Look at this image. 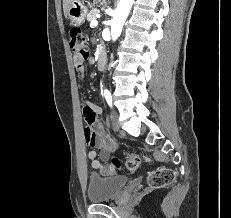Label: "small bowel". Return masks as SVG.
Masks as SVG:
<instances>
[{"instance_id": "small-bowel-1", "label": "small bowel", "mask_w": 231, "mask_h": 218, "mask_svg": "<svg viewBox=\"0 0 231 218\" xmlns=\"http://www.w3.org/2000/svg\"><path fill=\"white\" fill-rule=\"evenodd\" d=\"M87 56L74 55V62L78 68V73L84 77V65L86 64ZM102 108L92 105L87 102L84 109V116L88 125L83 129V139L85 144L96 147L97 150H90L87 153L91 166L100 171L101 174H110L105 166H102L101 161H107L111 157V153L115 149V145L111 139L105 136L102 127L94 123L95 115L101 114Z\"/></svg>"}]
</instances>
